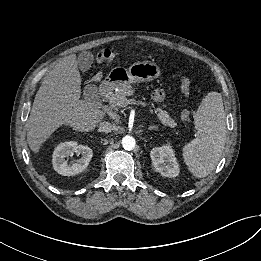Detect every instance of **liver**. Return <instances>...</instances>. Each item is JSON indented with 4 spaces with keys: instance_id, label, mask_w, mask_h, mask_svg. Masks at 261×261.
<instances>
[{
    "instance_id": "obj_1",
    "label": "liver",
    "mask_w": 261,
    "mask_h": 261,
    "mask_svg": "<svg viewBox=\"0 0 261 261\" xmlns=\"http://www.w3.org/2000/svg\"><path fill=\"white\" fill-rule=\"evenodd\" d=\"M81 76L76 55L59 61L45 76L35 96L27 123V142L37 153L62 125L81 132L95 129L105 113L89 100H81Z\"/></svg>"
}]
</instances>
